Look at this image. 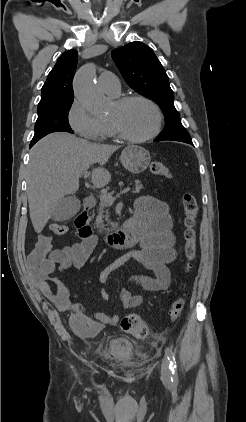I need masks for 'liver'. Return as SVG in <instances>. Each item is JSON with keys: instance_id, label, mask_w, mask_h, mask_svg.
<instances>
[{"instance_id": "1", "label": "liver", "mask_w": 246, "mask_h": 422, "mask_svg": "<svg viewBox=\"0 0 246 422\" xmlns=\"http://www.w3.org/2000/svg\"><path fill=\"white\" fill-rule=\"evenodd\" d=\"M119 146L91 143L74 135L58 132L47 135L30 151L27 171V195L30 219L41 233L60 199L74 194L79 179L92 164L95 187L106 186L111 175L103 166Z\"/></svg>"}]
</instances>
